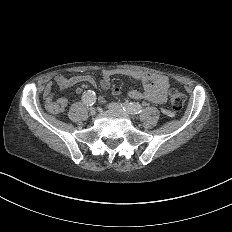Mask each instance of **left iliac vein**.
I'll return each mask as SVG.
<instances>
[{
	"instance_id": "obj_1",
	"label": "left iliac vein",
	"mask_w": 232,
	"mask_h": 232,
	"mask_svg": "<svg viewBox=\"0 0 232 232\" xmlns=\"http://www.w3.org/2000/svg\"><path fill=\"white\" fill-rule=\"evenodd\" d=\"M117 105H118L117 103L109 102L105 105V108L107 110H114L115 112H120L121 110L117 108Z\"/></svg>"
}]
</instances>
